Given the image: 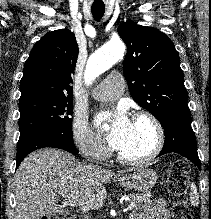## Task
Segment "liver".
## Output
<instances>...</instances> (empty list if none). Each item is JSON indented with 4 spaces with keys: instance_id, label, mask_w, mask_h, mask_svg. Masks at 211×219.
<instances>
[{
    "instance_id": "obj_1",
    "label": "liver",
    "mask_w": 211,
    "mask_h": 219,
    "mask_svg": "<svg viewBox=\"0 0 211 219\" xmlns=\"http://www.w3.org/2000/svg\"><path fill=\"white\" fill-rule=\"evenodd\" d=\"M114 173L94 165H83L69 153L46 148L28 155L15 174L16 207L14 219H41L64 213L63 205L79 211L97 210L107 198L104 183Z\"/></svg>"
}]
</instances>
